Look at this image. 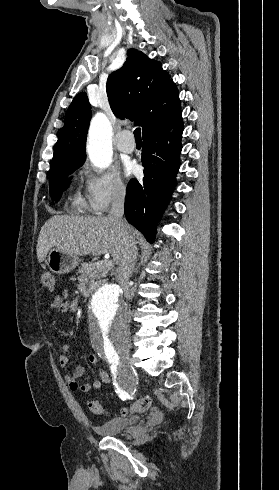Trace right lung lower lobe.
<instances>
[{
    "instance_id": "1",
    "label": "right lung lower lobe",
    "mask_w": 279,
    "mask_h": 490,
    "mask_svg": "<svg viewBox=\"0 0 279 490\" xmlns=\"http://www.w3.org/2000/svg\"><path fill=\"white\" fill-rule=\"evenodd\" d=\"M182 119L172 126L143 136L142 181L131 179L126 191L125 216L129 223L153 242L156 226L176 186L182 149Z\"/></svg>"
}]
</instances>
